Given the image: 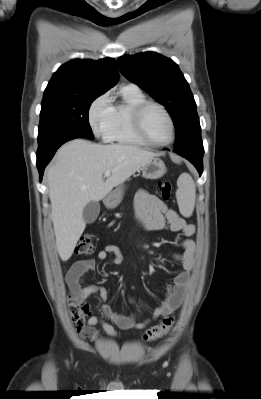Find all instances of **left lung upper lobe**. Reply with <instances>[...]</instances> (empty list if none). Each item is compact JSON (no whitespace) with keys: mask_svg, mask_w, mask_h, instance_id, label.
<instances>
[{"mask_svg":"<svg viewBox=\"0 0 261 399\" xmlns=\"http://www.w3.org/2000/svg\"><path fill=\"white\" fill-rule=\"evenodd\" d=\"M119 70L165 106L176 128L175 152H204L196 103L177 64L155 52L123 56Z\"/></svg>","mask_w":261,"mask_h":399,"instance_id":"1","label":"left lung upper lobe"}]
</instances>
